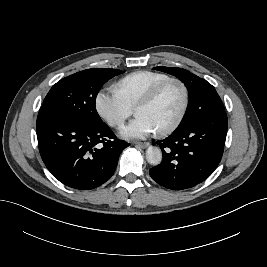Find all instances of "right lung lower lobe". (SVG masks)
<instances>
[{
	"label": "right lung lower lobe",
	"instance_id": "1",
	"mask_svg": "<svg viewBox=\"0 0 267 267\" xmlns=\"http://www.w3.org/2000/svg\"><path fill=\"white\" fill-rule=\"evenodd\" d=\"M36 131L48 170L64 185L78 190L105 183L114 174L120 153L129 146L117 140L105 123L90 125L46 105L40 108Z\"/></svg>",
	"mask_w": 267,
	"mask_h": 267
}]
</instances>
